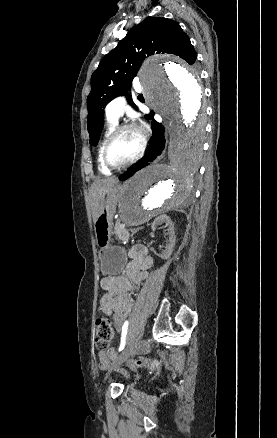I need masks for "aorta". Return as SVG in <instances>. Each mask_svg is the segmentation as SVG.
Wrapping results in <instances>:
<instances>
[{
  "label": "aorta",
  "mask_w": 277,
  "mask_h": 438,
  "mask_svg": "<svg viewBox=\"0 0 277 438\" xmlns=\"http://www.w3.org/2000/svg\"><path fill=\"white\" fill-rule=\"evenodd\" d=\"M150 106L168 120V164L149 165L129 181L120 201V217L138 226L177 208L191 193L201 156L205 119L197 71L178 59H147L139 73Z\"/></svg>",
  "instance_id": "762f6f07"
}]
</instances>
